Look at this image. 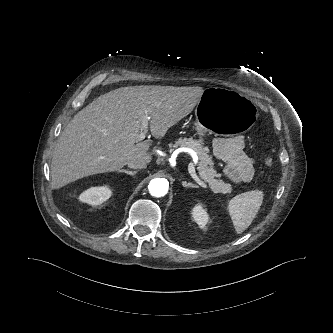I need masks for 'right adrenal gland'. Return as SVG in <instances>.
<instances>
[{
	"label": "right adrenal gland",
	"instance_id": "2a0ac1e0",
	"mask_svg": "<svg viewBox=\"0 0 333 333\" xmlns=\"http://www.w3.org/2000/svg\"><path fill=\"white\" fill-rule=\"evenodd\" d=\"M119 173H125V174H128V175H131V176H134L136 175L137 171H129V170H118Z\"/></svg>",
	"mask_w": 333,
	"mask_h": 333
}]
</instances>
